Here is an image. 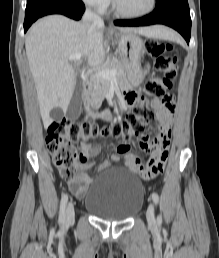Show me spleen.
<instances>
[{"instance_id": "obj_1", "label": "spleen", "mask_w": 219, "mask_h": 258, "mask_svg": "<svg viewBox=\"0 0 219 258\" xmlns=\"http://www.w3.org/2000/svg\"><path fill=\"white\" fill-rule=\"evenodd\" d=\"M165 29V28H164ZM162 38H173V36H172V32L171 31H169V30H167V29H165L164 30V32L162 33Z\"/></svg>"}]
</instances>
